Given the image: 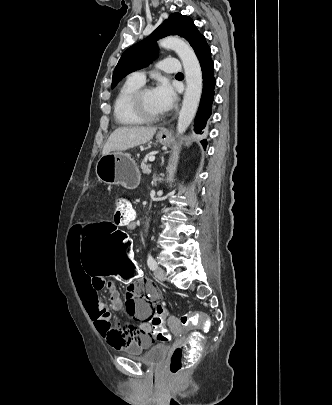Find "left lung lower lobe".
<instances>
[{
	"mask_svg": "<svg viewBox=\"0 0 332 405\" xmlns=\"http://www.w3.org/2000/svg\"><path fill=\"white\" fill-rule=\"evenodd\" d=\"M203 74V89L202 96L199 104V109L195 118L194 130L196 134L203 133L206 124L212 114V106L214 102V88L216 79L213 75L214 64L211 59V50L208 45L204 46L197 54ZM202 145L206 147V139L201 141Z\"/></svg>",
	"mask_w": 332,
	"mask_h": 405,
	"instance_id": "left-lung-lower-lobe-1",
	"label": "left lung lower lobe"
}]
</instances>
